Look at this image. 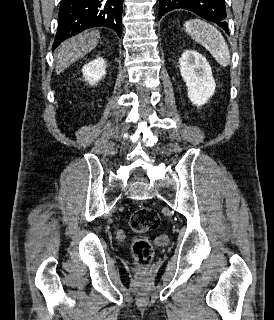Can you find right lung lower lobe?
I'll return each mask as SVG.
<instances>
[{
    "instance_id": "right-lung-lower-lobe-1",
    "label": "right lung lower lobe",
    "mask_w": 274,
    "mask_h": 320,
    "mask_svg": "<svg viewBox=\"0 0 274 320\" xmlns=\"http://www.w3.org/2000/svg\"><path fill=\"white\" fill-rule=\"evenodd\" d=\"M124 0H61L53 49L85 29L106 26L121 36Z\"/></svg>"
}]
</instances>
